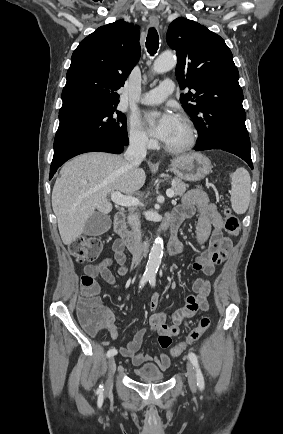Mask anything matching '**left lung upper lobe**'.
<instances>
[{"instance_id": "left-lung-upper-lobe-1", "label": "left lung upper lobe", "mask_w": 283, "mask_h": 434, "mask_svg": "<svg viewBox=\"0 0 283 434\" xmlns=\"http://www.w3.org/2000/svg\"><path fill=\"white\" fill-rule=\"evenodd\" d=\"M166 40L177 52L180 88H189L180 101L195 123L197 146L250 152L239 73L223 38L195 21L177 18Z\"/></svg>"}]
</instances>
